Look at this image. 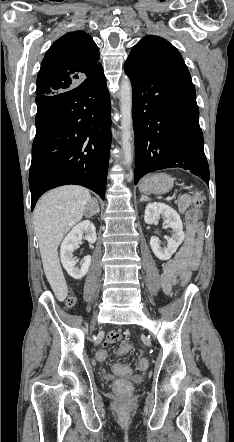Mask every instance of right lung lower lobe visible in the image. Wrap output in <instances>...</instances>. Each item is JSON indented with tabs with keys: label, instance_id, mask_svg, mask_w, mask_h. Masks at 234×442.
<instances>
[{
	"label": "right lung lower lobe",
	"instance_id": "right-lung-lower-lobe-1",
	"mask_svg": "<svg viewBox=\"0 0 234 442\" xmlns=\"http://www.w3.org/2000/svg\"><path fill=\"white\" fill-rule=\"evenodd\" d=\"M36 104L31 210L43 193L66 184L92 189L104 200L111 104L103 71L68 91L37 95Z\"/></svg>",
	"mask_w": 234,
	"mask_h": 442
}]
</instances>
